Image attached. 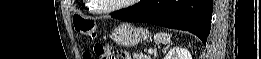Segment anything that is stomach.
I'll use <instances>...</instances> for the list:
<instances>
[{
    "instance_id": "0dacf381",
    "label": "stomach",
    "mask_w": 261,
    "mask_h": 59,
    "mask_svg": "<svg viewBox=\"0 0 261 59\" xmlns=\"http://www.w3.org/2000/svg\"><path fill=\"white\" fill-rule=\"evenodd\" d=\"M150 38V33L144 28H137L129 23H122L114 28L111 39L118 45L132 47L142 40Z\"/></svg>"
}]
</instances>
